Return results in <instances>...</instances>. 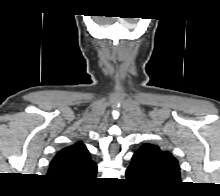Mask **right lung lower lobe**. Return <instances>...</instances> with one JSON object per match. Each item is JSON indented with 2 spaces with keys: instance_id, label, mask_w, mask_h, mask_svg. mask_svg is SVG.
<instances>
[{
  "instance_id": "1",
  "label": "right lung lower lobe",
  "mask_w": 220,
  "mask_h": 196,
  "mask_svg": "<svg viewBox=\"0 0 220 196\" xmlns=\"http://www.w3.org/2000/svg\"><path fill=\"white\" fill-rule=\"evenodd\" d=\"M92 178H95V176H93ZM63 184L65 185H68V186H77V185H80V184H70V183H66V182H62ZM82 184V183H81Z\"/></svg>"
}]
</instances>
